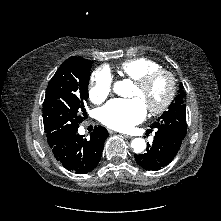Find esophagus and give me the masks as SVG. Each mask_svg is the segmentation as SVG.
<instances>
[{
	"label": "esophagus",
	"mask_w": 221,
	"mask_h": 221,
	"mask_svg": "<svg viewBox=\"0 0 221 221\" xmlns=\"http://www.w3.org/2000/svg\"><path fill=\"white\" fill-rule=\"evenodd\" d=\"M123 137H125V138H128V139H132L133 137L132 136H130V135H123Z\"/></svg>",
	"instance_id": "esophagus-1"
}]
</instances>
